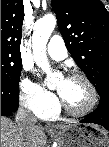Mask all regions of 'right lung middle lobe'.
Instances as JSON below:
<instances>
[{"label":"right lung middle lobe","instance_id":"1","mask_svg":"<svg viewBox=\"0 0 109 147\" xmlns=\"http://www.w3.org/2000/svg\"><path fill=\"white\" fill-rule=\"evenodd\" d=\"M22 68L21 55L1 48V85L18 88Z\"/></svg>","mask_w":109,"mask_h":147}]
</instances>
